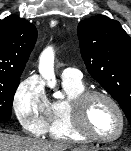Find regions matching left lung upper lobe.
<instances>
[{"label": "left lung upper lobe", "mask_w": 131, "mask_h": 151, "mask_svg": "<svg viewBox=\"0 0 131 151\" xmlns=\"http://www.w3.org/2000/svg\"><path fill=\"white\" fill-rule=\"evenodd\" d=\"M81 55L90 75L119 103L131 124V38L104 15L78 25Z\"/></svg>", "instance_id": "left-lung-upper-lobe-1"}]
</instances>
